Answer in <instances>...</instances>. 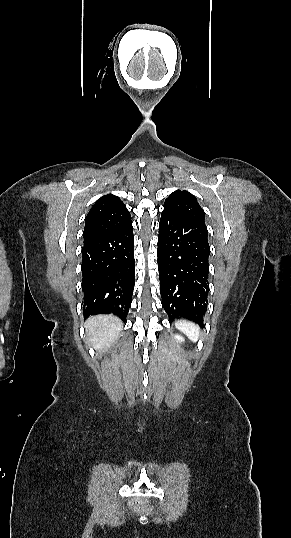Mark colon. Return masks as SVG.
I'll list each match as a JSON object with an SVG mask.
<instances>
[{
  "mask_svg": "<svg viewBox=\"0 0 291 538\" xmlns=\"http://www.w3.org/2000/svg\"><path fill=\"white\" fill-rule=\"evenodd\" d=\"M134 505H135V506H141L142 510H147L146 506H144V505H140L139 502H135Z\"/></svg>",
  "mask_w": 291,
  "mask_h": 538,
  "instance_id": "1",
  "label": "colon"
}]
</instances>
